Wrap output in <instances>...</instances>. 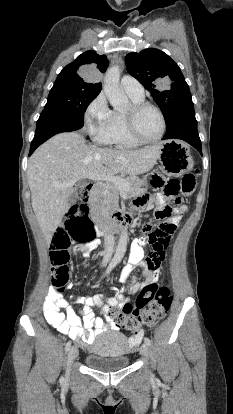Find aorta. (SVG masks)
I'll return each mask as SVG.
<instances>
[{"instance_id":"762f6f07","label":"aorta","mask_w":233,"mask_h":414,"mask_svg":"<svg viewBox=\"0 0 233 414\" xmlns=\"http://www.w3.org/2000/svg\"><path fill=\"white\" fill-rule=\"evenodd\" d=\"M120 68L119 66L110 67L105 75L103 89L110 104L116 108H123L128 104V98L120 88ZM128 241L127 229H124L118 241V246L114 255V261H121L126 252Z\"/></svg>"}]
</instances>
